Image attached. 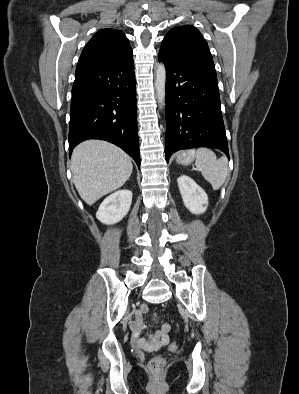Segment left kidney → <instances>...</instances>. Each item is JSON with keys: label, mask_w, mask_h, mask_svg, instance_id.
<instances>
[{"label": "left kidney", "mask_w": 299, "mask_h": 394, "mask_svg": "<svg viewBox=\"0 0 299 394\" xmlns=\"http://www.w3.org/2000/svg\"><path fill=\"white\" fill-rule=\"evenodd\" d=\"M177 182L185 207L196 215L204 213L208 206L205 191L187 175H181Z\"/></svg>", "instance_id": "1"}]
</instances>
